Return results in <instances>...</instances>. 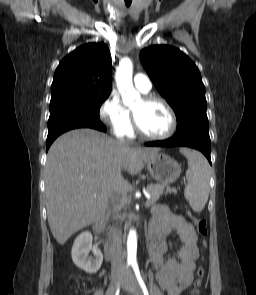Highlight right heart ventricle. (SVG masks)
<instances>
[{"mask_svg":"<svg viewBox=\"0 0 256 295\" xmlns=\"http://www.w3.org/2000/svg\"><path fill=\"white\" fill-rule=\"evenodd\" d=\"M134 133L132 130V127L130 126L129 129L127 130V132L125 134H123L122 136H126V137H133Z\"/></svg>","mask_w":256,"mask_h":295,"instance_id":"obj_1","label":"right heart ventricle"}]
</instances>
